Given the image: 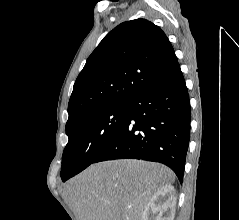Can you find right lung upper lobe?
<instances>
[{"label":"right lung upper lobe","mask_w":239,"mask_h":220,"mask_svg":"<svg viewBox=\"0 0 239 220\" xmlns=\"http://www.w3.org/2000/svg\"><path fill=\"white\" fill-rule=\"evenodd\" d=\"M177 63L165 33L145 19L109 32L87 59L71 94L66 126L78 118L128 101Z\"/></svg>","instance_id":"right-lung-upper-lobe-1"}]
</instances>
